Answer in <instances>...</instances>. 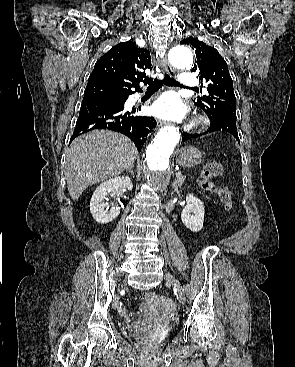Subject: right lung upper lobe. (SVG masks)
<instances>
[{"label":"right lung upper lobe","mask_w":295,"mask_h":367,"mask_svg":"<svg viewBox=\"0 0 295 367\" xmlns=\"http://www.w3.org/2000/svg\"><path fill=\"white\" fill-rule=\"evenodd\" d=\"M151 68V56L147 49L138 47L131 40L119 43L97 61L86 89L103 88L128 97L141 91L140 82H150L145 70Z\"/></svg>","instance_id":"right-lung-upper-lobe-1"}]
</instances>
